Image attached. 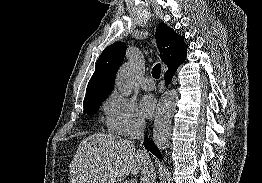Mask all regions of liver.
I'll return each mask as SVG.
<instances>
[{
	"label": "liver",
	"mask_w": 262,
	"mask_h": 183,
	"mask_svg": "<svg viewBox=\"0 0 262 183\" xmlns=\"http://www.w3.org/2000/svg\"><path fill=\"white\" fill-rule=\"evenodd\" d=\"M134 141L95 133L83 139L70 164V183H116L142 170Z\"/></svg>",
	"instance_id": "liver-1"
}]
</instances>
